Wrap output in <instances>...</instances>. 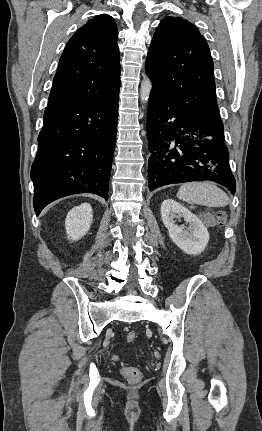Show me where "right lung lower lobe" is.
<instances>
[{
    "label": "right lung lower lobe",
    "instance_id": "98d812e1",
    "mask_svg": "<svg viewBox=\"0 0 262 431\" xmlns=\"http://www.w3.org/2000/svg\"><path fill=\"white\" fill-rule=\"evenodd\" d=\"M119 92L104 101L49 102L31 169L37 216L50 202L75 193L108 199Z\"/></svg>",
    "mask_w": 262,
    "mask_h": 431
}]
</instances>
